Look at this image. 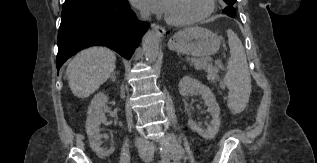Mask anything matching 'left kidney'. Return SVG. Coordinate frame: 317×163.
<instances>
[{"label": "left kidney", "instance_id": "left-kidney-1", "mask_svg": "<svg viewBox=\"0 0 317 163\" xmlns=\"http://www.w3.org/2000/svg\"><path fill=\"white\" fill-rule=\"evenodd\" d=\"M178 87L182 96H187L191 93L201 94L205 105L208 107V112L212 115L210 126L207 129H202L192 119L188 120V125L191 130L196 131L201 137L213 139L218 133L220 126V108L210 88L189 76H184L180 80Z\"/></svg>", "mask_w": 317, "mask_h": 163}]
</instances>
